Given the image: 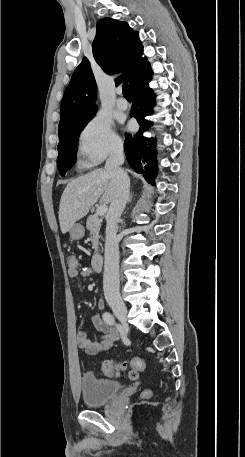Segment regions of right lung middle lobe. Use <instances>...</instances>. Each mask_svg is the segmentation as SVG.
<instances>
[{"mask_svg": "<svg viewBox=\"0 0 245 457\" xmlns=\"http://www.w3.org/2000/svg\"><path fill=\"white\" fill-rule=\"evenodd\" d=\"M94 115L67 123L59 128L57 165L62 176L74 165L79 134Z\"/></svg>", "mask_w": 245, "mask_h": 457, "instance_id": "dd1d6c3e", "label": "right lung middle lobe"}]
</instances>
